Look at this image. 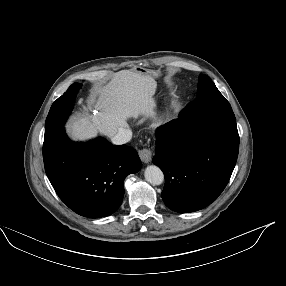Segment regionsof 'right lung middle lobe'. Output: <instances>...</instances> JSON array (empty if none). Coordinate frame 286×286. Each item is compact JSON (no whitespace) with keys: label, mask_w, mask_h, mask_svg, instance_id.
Segmentation results:
<instances>
[{"label":"right lung middle lobe","mask_w":286,"mask_h":286,"mask_svg":"<svg viewBox=\"0 0 286 286\" xmlns=\"http://www.w3.org/2000/svg\"><path fill=\"white\" fill-rule=\"evenodd\" d=\"M80 87L81 84L73 83L68 90L52 104L45 123V135L63 127L72 111L73 101Z\"/></svg>","instance_id":"obj_1"}]
</instances>
